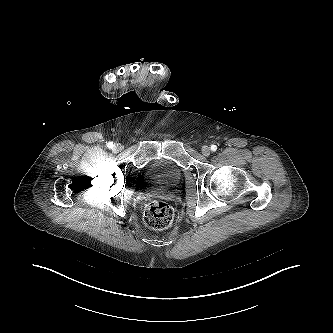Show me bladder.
Instances as JSON below:
<instances>
[{
  "label": "bladder",
  "instance_id": "bladder-1",
  "mask_svg": "<svg viewBox=\"0 0 333 333\" xmlns=\"http://www.w3.org/2000/svg\"><path fill=\"white\" fill-rule=\"evenodd\" d=\"M182 177V168L171 157H156L141 169L142 180L154 186L171 187Z\"/></svg>",
  "mask_w": 333,
  "mask_h": 333
}]
</instances>
